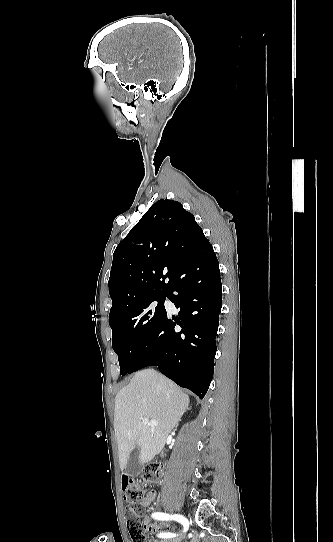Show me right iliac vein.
Wrapping results in <instances>:
<instances>
[{
  "mask_svg": "<svg viewBox=\"0 0 333 542\" xmlns=\"http://www.w3.org/2000/svg\"><path fill=\"white\" fill-rule=\"evenodd\" d=\"M182 538H183V536L180 535L179 537H176L174 539H168V540H164L162 542H180Z\"/></svg>",
  "mask_w": 333,
  "mask_h": 542,
  "instance_id": "63e3f726",
  "label": "right iliac vein"
}]
</instances>
